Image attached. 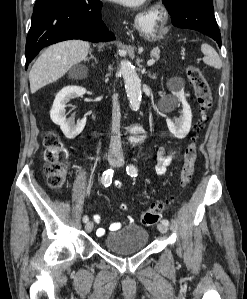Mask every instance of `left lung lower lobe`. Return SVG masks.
<instances>
[{"mask_svg": "<svg viewBox=\"0 0 247 299\" xmlns=\"http://www.w3.org/2000/svg\"><path fill=\"white\" fill-rule=\"evenodd\" d=\"M165 6L174 26L206 34L221 47L220 31L212 0H174Z\"/></svg>", "mask_w": 247, "mask_h": 299, "instance_id": "obj_1", "label": "left lung lower lobe"}]
</instances>
